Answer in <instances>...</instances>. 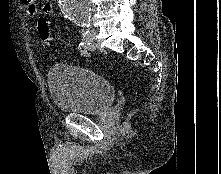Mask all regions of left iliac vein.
<instances>
[{
	"mask_svg": "<svg viewBox=\"0 0 221 174\" xmlns=\"http://www.w3.org/2000/svg\"><path fill=\"white\" fill-rule=\"evenodd\" d=\"M96 36H97V32L92 29L86 34V41L93 43L96 40Z\"/></svg>",
	"mask_w": 221,
	"mask_h": 174,
	"instance_id": "1",
	"label": "left iliac vein"
}]
</instances>
